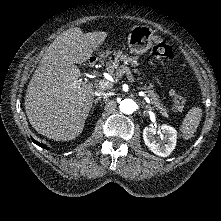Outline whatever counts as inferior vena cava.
<instances>
[{"label":"inferior vena cava","instance_id":"obj_1","mask_svg":"<svg viewBox=\"0 0 221 221\" xmlns=\"http://www.w3.org/2000/svg\"><path fill=\"white\" fill-rule=\"evenodd\" d=\"M95 95H97V96H104V95H106V94H105V93H102V92L96 91V92H95ZM99 98H101V97H99Z\"/></svg>","mask_w":221,"mask_h":221}]
</instances>
